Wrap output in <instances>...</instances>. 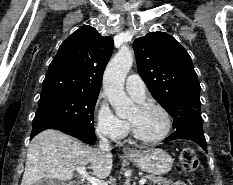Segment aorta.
Returning <instances> with one entry per match:
<instances>
[{
  "label": "aorta",
  "instance_id": "762f6f07",
  "mask_svg": "<svg viewBox=\"0 0 233 185\" xmlns=\"http://www.w3.org/2000/svg\"><path fill=\"white\" fill-rule=\"evenodd\" d=\"M133 65V56L130 50L121 49L108 63L104 78L103 89L120 118H125L134 109V102L124 92L125 78Z\"/></svg>",
  "mask_w": 233,
  "mask_h": 185
}]
</instances>
